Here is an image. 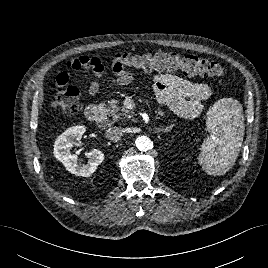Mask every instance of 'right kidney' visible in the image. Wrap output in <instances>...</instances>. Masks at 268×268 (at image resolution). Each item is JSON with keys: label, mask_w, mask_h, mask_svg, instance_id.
<instances>
[{"label": "right kidney", "mask_w": 268, "mask_h": 268, "mask_svg": "<svg viewBox=\"0 0 268 268\" xmlns=\"http://www.w3.org/2000/svg\"><path fill=\"white\" fill-rule=\"evenodd\" d=\"M84 126H73L64 131L55 141L54 156L63 163L66 170L76 176L90 177L103 162L104 154L97 149H93L85 155L87 163H78L77 156L71 153L74 140H80L85 133Z\"/></svg>", "instance_id": "1"}]
</instances>
